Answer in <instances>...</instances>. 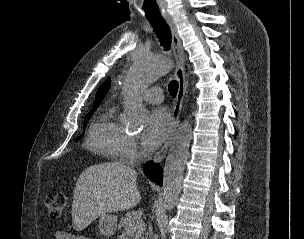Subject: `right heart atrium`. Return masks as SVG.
I'll list each match as a JSON object with an SVG mask.
<instances>
[{
	"label": "right heart atrium",
	"instance_id": "1",
	"mask_svg": "<svg viewBox=\"0 0 304 239\" xmlns=\"http://www.w3.org/2000/svg\"><path fill=\"white\" fill-rule=\"evenodd\" d=\"M139 152V146L134 136L125 133L120 144V155L126 159L135 157Z\"/></svg>",
	"mask_w": 304,
	"mask_h": 239
}]
</instances>
